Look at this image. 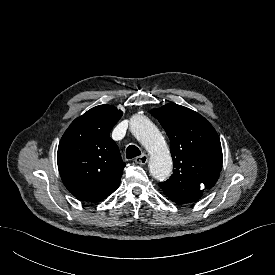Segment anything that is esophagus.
<instances>
[{
  "label": "esophagus",
  "instance_id": "34e87169",
  "mask_svg": "<svg viewBox=\"0 0 275 275\" xmlns=\"http://www.w3.org/2000/svg\"><path fill=\"white\" fill-rule=\"evenodd\" d=\"M135 162L140 165H145L148 162V156L146 154H142L135 158Z\"/></svg>",
  "mask_w": 275,
  "mask_h": 275
}]
</instances>
